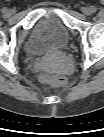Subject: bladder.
I'll return each mask as SVG.
<instances>
[{
    "instance_id": "1",
    "label": "bladder",
    "mask_w": 104,
    "mask_h": 137,
    "mask_svg": "<svg viewBox=\"0 0 104 137\" xmlns=\"http://www.w3.org/2000/svg\"><path fill=\"white\" fill-rule=\"evenodd\" d=\"M70 38V31L54 15L41 19L35 27L32 41L26 48L29 55L37 56L51 50L62 49Z\"/></svg>"
}]
</instances>
